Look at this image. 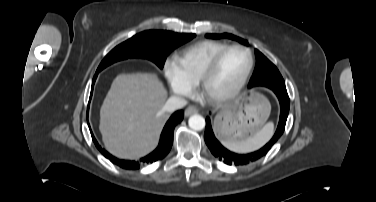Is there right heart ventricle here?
<instances>
[{
	"mask_svg": "<svg viewBox=\"0 0 376 202\" xmlns=\"http://www.w3.org/2000/svg\"><path fill=\"white\" fill-rule=\"evenodd\" d=\"M228 46L227 43L219 41H201L180 51L174 61L183 79L194 87L210 61Z\"/></svg>",
	"mask_w": 376,
	"mask_h": 202,
	"instance_id": "right-heart-ventricle-1",
	"label": "right heart ventricle"
}]
</instances>
